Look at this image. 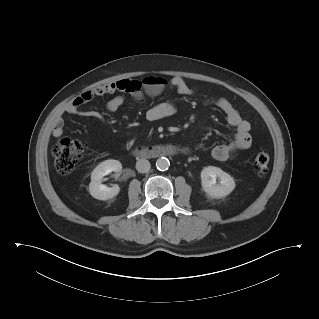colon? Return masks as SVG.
I'll list each match as a JSON object with an SVG mask.
<instances>
[{
    "label": "colon",
    "instance_id": "5ec220e1",
    "mask_svg": "<svg viewBox=\"0 0 319 319\" xmlns=\"http://www.w3.org/2000/svg\"><path fill=\"white\" fill-rule=\"evenodd\" d=\"M166 80L159 76H148L142 80H129L125 87L126 93L137 95L139 93L157 94L164 89ZM86 144L81 140L71 138L59 139L52 150L57 171L62 175L72 172L76 163L86 151ZM270 157L264 151H258L253 158V169L258 176H263L268 169Z\"/></svg>",
    "mask_w": 319,
    "mask_h": 319
}]
</instances>
